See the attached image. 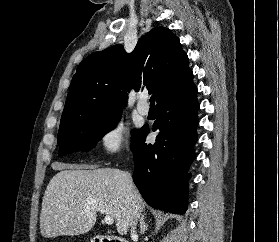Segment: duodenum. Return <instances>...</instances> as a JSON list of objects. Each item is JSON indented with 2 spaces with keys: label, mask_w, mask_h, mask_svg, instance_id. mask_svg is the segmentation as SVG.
I'll return each instance as SVG.
<instances>
[{
  "label": "duodenum",
  "mask_w": 279,
  "mask_h": 242,
  "mask_svg": "<svg viewBox=\"0 0 279 242\" xmlns=\"http://www.w3.org/2000/svg\"><path fill=\"white\" fill-rule=\"evenodd\" d=\"M94 242H127L122 238L99 235L94 238Z\"/></svg>",
  "instance_id": "410a0bca"
}]
</instances>
